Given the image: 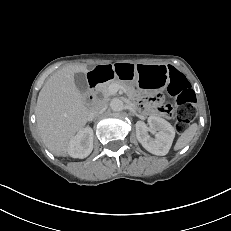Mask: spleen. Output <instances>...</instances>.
Masks as SVG:
<instances>
[{"instance_id": "spleen-1", "label": "spleen", "mask_w": 231, "mask_h": 231, "mask_svg": "<svg viewBox=\"0 0 231 231\" xmlns=\"http://www.w3.org/2000/svg\"><path fill=\"white\" fill-rule=\"evenodd\" d=\"M198 130V125L196 123L192 124L189 126L188 129H186L181 136L178 138L175 146H174V150H180L182 148H184L186 145H188L192 139L194 138V136L196 135V132Z\"/></svg>"}]
</instances>
